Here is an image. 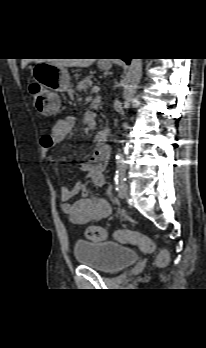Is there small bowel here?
Masks as SVG:
<instances>
[{
	"instance_id": "small-bowel-1",
	"label": "small bowel",
	"mask_w": 206,
	"mask_h": 348,
	"mask_svg": "<svg viewBox=\"0 0 206 348\" xmlns=\"http://www.w3.org/2000/svg\"><path fill=\"white\" fill-rule=\"evenodd\" d=\"M75 119L71 116L57 121L50 131L41 138V147L44 159L49 152L62 143L72 132ZM108 148L105 146L96 149L92 160L80 165L85 174V179L96 186L104 183L105 161L108 156ZM90 190L86 182L77 183L72 188L62 187L60 199L62 201V212L75 224H86L108 217L111 213L110 203L103 198L89 197ZM78 196L73 203L69 201Z\"/></svg>"
}]
</instances>
